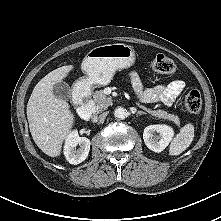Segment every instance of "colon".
Here are the masks:
<instances>
[{
  "label": "colon",
  "instance_id": "1",
  "mask_svg": "<svg viewBox=\"0 0 221 221\" xmlns=\"http://www.w3.org/2000/svg\"><path fill=\"white\" fill-rule=\"evenodd\" d=\"M152 68L162 74H171L175 71L174 61L163 54L156 55L152 62ZM185 108L190 114H197L200 112L202 107V98L197 90L189 91L184 100Z\"/></svg>",
  "mask_w": 221,
  "mask_h": 221
}]
</instances>
